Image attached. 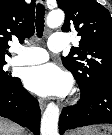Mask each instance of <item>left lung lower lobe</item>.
Segmentation results:
<instances>
[{"label":"left lung lower lobe","mask_w":112,"mask_h":135,"mask_svg":"<svg viewBox=\"0 0 112 135\" xmlns=\"http://www.w3.org/2000/svg\"><path fill=\"white\" fill-rule=\"evenodd\" d=\"M112 124V79L95 84L89 91H81V98L74 106L64 108L59 119V131L77 127Z\"/></svg>","instance_id":"1"}]
</instances>
